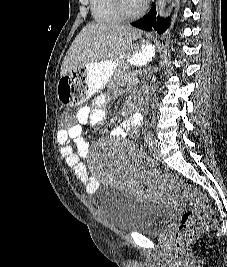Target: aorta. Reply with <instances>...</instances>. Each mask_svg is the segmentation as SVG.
Segmentation results:
<instances>
[{
	"label": "aorta",
	"mask_w": 227,
	"mask_h": 267,
	"mask_svg": "<svg viewBox=\"0 0 227 267\" xmlns=\"http://www.w3.org/2000/svg\"><path fill=\"white\" fill-rule=\"evenodd\" d=\"M167 1L168 0H156V11L159 17L163 16L166 9Z\"/></svg>",
	"instance_id": "762f6f07"
}]
</instances>
